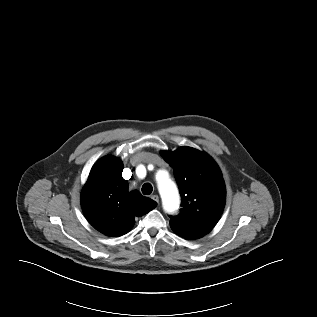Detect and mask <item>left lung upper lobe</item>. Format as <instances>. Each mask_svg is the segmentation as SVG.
Segmentation results:
<instances>
[{"label":"left lung upper lobe","instance_id":"5c2ea615","mask_svg":"<svg viewBox=\"0 0 317 317\" xmlns=\"http://www.w3.org/2000/svg\"><path fill=\"white\" fill-rule=\"evenodd\" d=\"M162 157L174 170L179 186L182 209L170 216V226L177 225L213 228L219 220L226 199L225 183L215 161L206 153L191 147H181Z\"/></svg>","mask_w":317,"mask_h":317}]
</instances>
